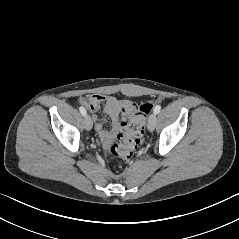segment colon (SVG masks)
Returning <instances> with one entry per match:
<instances>
[{
  "mask_svg": "<svg viewBox=\"0 0 239 239\" xmlns=\"http://www.w3.org/2000/svg\"><path fill=\"white\" fill-rule=\"evenodd\" d=\"M152 108L151 104H143L138 111L121 124V132L116 142L111 146V153L122 160H130L139 146L143 133L146 116Z\"/></svg>",
  "mask_w": 239,
  "mask_h": 239,
  "instance_id": "1",
  "label": "colon"
}]
</instances>
